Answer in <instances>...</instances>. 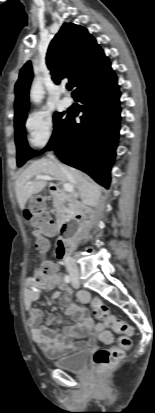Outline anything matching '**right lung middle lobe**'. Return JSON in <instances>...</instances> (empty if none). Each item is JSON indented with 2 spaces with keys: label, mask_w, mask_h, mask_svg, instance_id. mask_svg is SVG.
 I'll use <instances>...</instances> for the list:
<instances>
[{
  "label": "right lung middle lobe",
  "mask_w": 155,
  "mask_h": 413,
  "mask_svg": "<svg viewBox=\"0 0 155 413\" xmlns=\"http://www.w3.org/2000/svg\"><path fill=\"white\" fill-rule=\"evenodd\" d=\"M64 114H65L64 112L54 114V117H53L54 131H53V135L48 145H50V143L58 135L63 125L65 124L66 120L65 118H63ZM25 120H26V117L15 122V142H16V147H17L18 167L22 166L27 160H29L30 158L34 156L39 155L45 150L44 149L41 152H36L30 149L25 139V128H24Z\"/></svg>",
  "instance_id": "right-lung-middle-lobe-1"
}]
</instances>
